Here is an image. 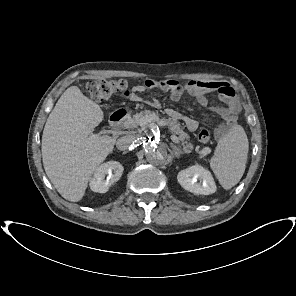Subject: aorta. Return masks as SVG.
<instances>
[{"label": "aorta", "mask_w": 296, "mask_h": 296, "mask_svg": "<svg viewBox=\"0 0 296 296\" xmlns=\"http://www.w3.org/2000/svg\"><path fill=\"white\" fill-rule=\"evenodd\" d=\"M143 150L147 161L151 164L159 165L166 161L167 150L162 145L146 140L143 144Z\"/></svg>", "instance_id": "762f6f07"}]
</instances>
